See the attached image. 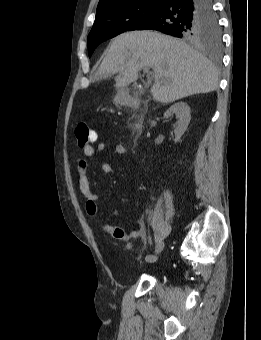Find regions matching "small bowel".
I'll list each match as a JSON object with an SVG mask.
<instances>
[{
    "label": "small bowel",
    "mask_w": 261,
    "mask_h": 340,
    "mask_svg": "<svg viewBox=\"0 0 261 340\" xmlns=\"http://www.w3.org/2000/svg\"><path fill=\"white\" fill-rule=\"evenodd\" d=\"M84 156L80 157L75 162V171L78 177V186L82 196L85 199V212L90 217H95L98 214V201L100 195L93 192L90 186L89 176H88V158L95 155L96 152L102 153L107 149V143L99 142L94 148L90 143L82 146ZM114 151L117 155L123 156L126 154V146L123 143H116L114 145ZM100 169L106 175H111L113 173L112 166L105 161L100 162ZM100 228L111 234L114 238L119 240L125 239H144L145 228L143 225L139 226L137 229H125L122 227L113 226L108 222H102Z\"/></svg>",
    "instance_id": "obj_1"
}]
</instances>
